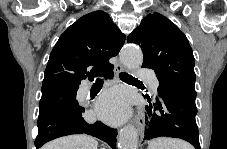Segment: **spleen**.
I'll use <instances>...</instances> for the list:
<instances>
[{"mask_svg": "<svg viewBox=\"0 0 227 149\" xmlns=\"http://www.w3.org/2000/svg\"><path fill=\"white\" fill-rule=\"evenodd\" d=\"M148 149H192V147L179 139L160 137L151 140Z\"/></svg>", "mask_w": 227, "mask_h": 149, "instance_id": "1", "label": "spleen"}]
</instances>
